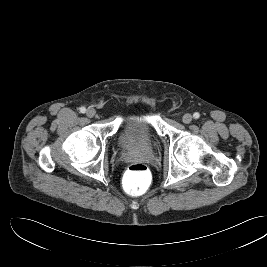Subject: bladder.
<instances>
[{"instance_id":"1","label":"bladder","mask_w":267,"mask_h":267,"mask_svg":"<svg viewBox=\"0 0 267 267\" xmlns=\"http://www.w3.org/2000/svg\"><path fill=\"white\" fill-rule=\"evenodd\" d=\"M118 140L125 146L144 149L153 144L155 136L145 118L131 115L125 119Z\"/></svg>"}]
</instances>
